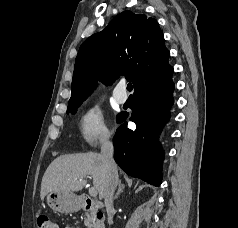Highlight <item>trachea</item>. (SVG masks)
Returning <instances> with one entry per match:
<instances>
[{
    "mask_svg": "<svg viewBox=\"0 0 238 228\" xmlns=\"http://www.w3.org/2000/svg\"><path fill=\"white\" fill-rule=\"evenodd\" d=\"M132 88H133L132 84L129 83V84L127 85V90L130 92V91H132Z\"/></svg>",
    "mask_w": 238,
    "mask_h": 228,
    "instance_id": "1",
    "label": "trachea"
}]
</instances>
